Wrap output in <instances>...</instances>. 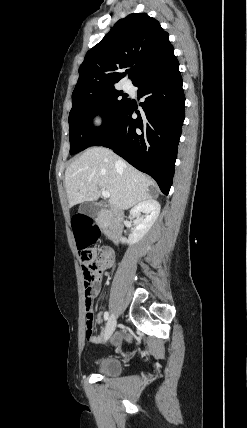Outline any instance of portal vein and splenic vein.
Segmentation results:
<instances>
[{"mask_svg":"<svg viewBox=\"0 0 247 428\" xmlns=\"http://www.w3.org/2000/svg\"><path fill=\"white\" fill-rule=\"evenodd\" d=\"M102 196L104 197V198H109L110 197V193L108 192V191H106V190H102Z\"/></svg>","mask_w":247,"mask_h":428,"instance_id":"1","label":"portal vein and splenic vein"}]
</instances>
